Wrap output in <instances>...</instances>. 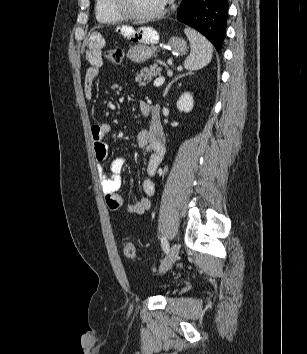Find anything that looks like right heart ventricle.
I'll return each mask as SVG.
<instances>
[{"instance_id":"obj_1","label":"right heart ventricle","mask_w":307,"mask_h":354,"mask_svg":"<svg viewBox=\"0 0 307 354\" xmlns=\"http://www.w3.org/2000/svg\"><path fill=\"white\" fill-rule=\"evenodd\" d=\"M95 17L98 22L103 24H113L122 20L113 12L110 0L95 1Z\"/></svg>"}]
</instances>
